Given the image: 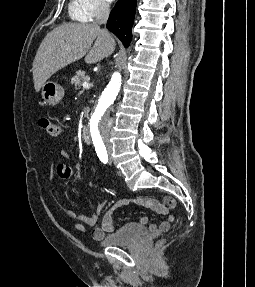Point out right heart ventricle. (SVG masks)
Instances as JSON below:
<instances>
[{"mask_svg": "<svg viewBox=\"0 0 255 287\" xmlns=\"http://www.w3.org/2000/svg\"><path fill=\"white\" fill-rule=\"evenodd\" d=\"M87 33H94V32H87ZM104 39H107V38H104Z\"/></svg>", "mask_w": 255, "mask_h": 287, "instance_id": "right-heart-ventricle-1", "label": "right heart ventricle"}]
</instances>
